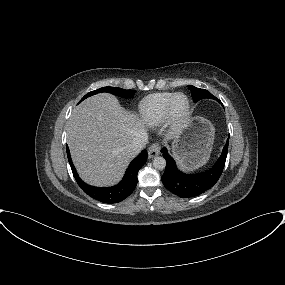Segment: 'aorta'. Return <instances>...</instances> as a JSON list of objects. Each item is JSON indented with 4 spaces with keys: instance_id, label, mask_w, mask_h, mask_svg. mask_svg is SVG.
Listing matches in <instances>:
<instances>
[{
    "instance_id": "obj_1",
    "label": "aorta",
    "mask_w": 285,
    "mask_h": 285,
    "mask_svg": "<svg viewBox=\"0 0 285 285\" xmlns=\"http://www.w3.org/2000/svg\"><path fill=\"white\" fill-rule=\"evenodd\" d=\"M153 166L155 169L158 170H163L166 166V160L165 158L161 157V156H157L153 159Z\"/></svg>"
}]
</instances>
